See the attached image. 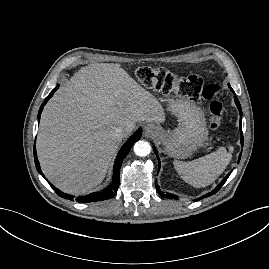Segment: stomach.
I'll return each mask as SVG.
<instances>
[{"instance_id": "obj_1", "label": "stomach", "mask_w": 269, "mask_h": 269, "mask_svg": "<svg viewBox=\"0 0 269 269\" xmlns=\"http://www.w3.org/2000/svg\"><path fill=\"white\" fill-rule=\"evenodd\" d=\"M168 110L178 117L179 125L171 132L158 126L156 139L170 157L187 158L208 139L204 113L195 103L181 99L171 100Z\"/></svg>"}]
</instances>
